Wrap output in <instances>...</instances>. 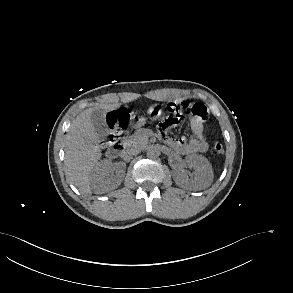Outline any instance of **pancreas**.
Instances as JSON below:
<instances>
[{
	"instance_id": "cf45deb5",
	"label": "pancreas",
	"mask_w": 293,
	"mask_h": 293,
	"mask_svg": "<svg viewBox=\"0 0 293 293\" xmlns=\"http://www.w3.org/2000/svg\"><path fill=\"white\" fill-rule=\"evenodd\" d=\"M150 136V130L145 128H140L134 132L131 136L126 139V143L129 146L143 147L148 143V138Z\"/></svg>"
}]
</instances>
